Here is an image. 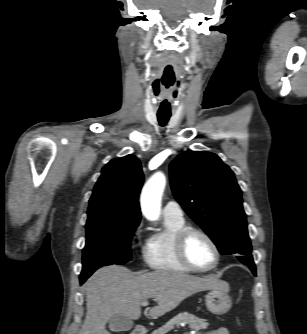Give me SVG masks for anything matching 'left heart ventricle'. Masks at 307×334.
I'll use <instances>...</instances> for the list:
<instances>
[{"instance_id":"left-heart-ventricle-1","label":"left heart ventricle","mask_w":307,"mask_h":334,"mask_svg":"<svg viewBox=\"0 0 307 334\" xmlns=\"http://www.w3.org/2000/svg\"><path fill=\"white\" fill-rule=\"evenodd\" d=\"M191 261L198 267L207 268L215 261V252L210 243L200 235H193L187 245Z\"/></svg>"}]
</instances>
